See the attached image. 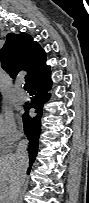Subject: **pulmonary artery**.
Wrapping results in <instances>:
<instances>
[{
  "label": "pulmonary artery",
  "instance_id": "1",
  "mask_svg": "<svg viewBox=\"0 0 89 203\" xmlns=\"http://www.w3.org/2000/svg\"><path fill=\"white\" fill-rule=\"evenodd\" d=\"M17 97H18V99H19L21 102H24V101H27V100H28V95H27L25 92H23V91L19 92V93L17 94Z\"/></svg>",
  "mask_w": 89,
  "mask_h": 203
}]
</instances>
